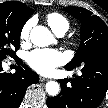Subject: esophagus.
<instances>
[{
  "label": "esophagus",
  "mask_w": 108,
  "mask_h": 108,
  "mask_svg": "<svg viewBox=\"0 0 108 108\" xmlns=\"http://www.w3.org/2000/svg\"><path fill=\"white\" fill-rule=\"evenodd\" d=\"M39 80L41 82H47V81H49V79L48 78H45V77H40Z\"/></svg>",
  "instance_id": "obj_1"
}]
</instances>
